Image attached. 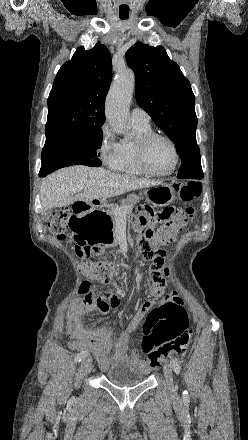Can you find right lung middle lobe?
<instances>
[{"mask_svg": "<svg viewBox=\"0 0 248 440\" xmlns=\"http://www.w3.org/2000/svg\"><path fill=\"white\" fill-rule=\"evenodd\" d=\"M102 135V129L97 128L81 135L46 140L39 176L72 165L101 166L98 149L101 148Z\"/></svg>", "mask_w": 248, "mask_h": 440, "instance_id": "dd1d6c3e", "label": "right lung middle lobe"}]
</instances>
